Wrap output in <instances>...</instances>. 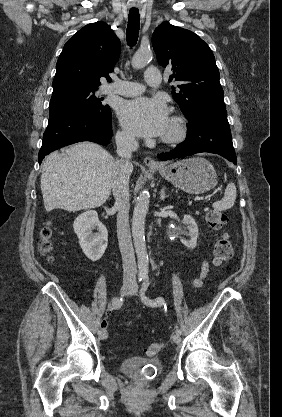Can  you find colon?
Masks as SVG:
<instances>
[{
    "label": "colon",
    "instance_id": "colon-1",
    "mask_svg": "<svg viewBox=\"0 0 282 417\" xmlns=\"http://www.w3.org/2000/svg\"><path fill=\"white\" fill-rule=\"evenodd\" d=\"M207 223L213 229L220 230L227 225V216L224 212L217 209H209L205 214ZM53 236L54 231L51 224H46L40 231V252L47 257L51 258L53 252ZM234 252L232 241L227 236H220L214 242L213 249V265L217 268L222 267L224 264L232 259ZM163 349L161 342L150 343L145 350L147 357L152 358L157 356Z\"/></svg>",
    "mask_w": 282,
    "mask_h": 417
}]
</instances>
